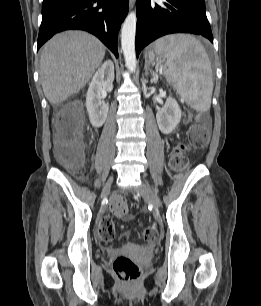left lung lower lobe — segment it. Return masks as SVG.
Wrapping results in <instances>:
<instances>
[{
    "instance_id": "0a47b994",
    "label": "left lung lower lobe",
    "mask_w": 261,
    "mask_h": 306,
    "mask_svg": "<svg viewBox=\"0 0 261 306\" xmlns=\"http://www.w3.org/2000/svg\"><path fill=\"white\" fill-rule=\"evenodd\" d=\"M136 55L155 39L171 33H193L213 42L204 0H137Z\"/></svg>"
}]
</instances>
